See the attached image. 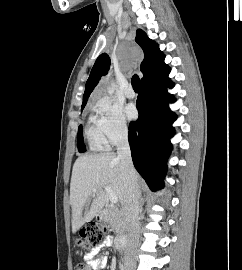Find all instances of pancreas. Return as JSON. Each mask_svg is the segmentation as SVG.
Listing matches in <instances>:
<instances>
[{
  "label": "pancreas",
  "instance_id": "1",
  "mask_svg": "<svg viewBox=\"0 0 242 270\" xmlns=\"http://www.w3.org/2000/svg\"><path fill=\"white\" fill-rule=\"evenodd\" d=\"M105 220L116 231L118 236L123 235L127 229L122 209L114 206L110 207Z\"/></svg>",
  "mask_w": 242,
  "mask_h": 270
}]
</instances>
